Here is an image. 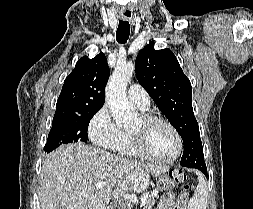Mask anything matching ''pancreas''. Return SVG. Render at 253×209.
I'll return each mask as SVG.
<instances>
[{
    "instance_id": "cf45deb5",
    "label": "pancreas",
    "mask_w": 253,
    "mask_h": 209,
    "mask_svg": "<svg viewBox=\"0 0 253 209\" xmlns=\"http://www.w3.org/2000/svg\"><path fill=\"white\" fill-rule=\"evenodd\" d=\"M157 193H148V199L144 205V209H152L153 206L156 204V200L158 198Z\"/></svg>"
}]
</instances>
